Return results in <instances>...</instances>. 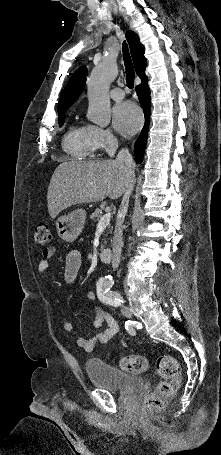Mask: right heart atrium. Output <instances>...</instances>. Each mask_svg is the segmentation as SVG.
<instances>
[{"instance_id":"right-heart-atrium-1","label":"right heart atrium","mask_w":221,"mask_h":455,"mask_svg":"<svg viewBox=\"0 0 221 455\" xmlns=\"http://www.w3.org/2000/svg\"><path fill=\"white\" fill-rule=\"evenodd\" d=\"M90 131L95 149L105 150L109 153L114 152L118 141L110 129L91 125Z\"/></svg>"}]
</instances>
